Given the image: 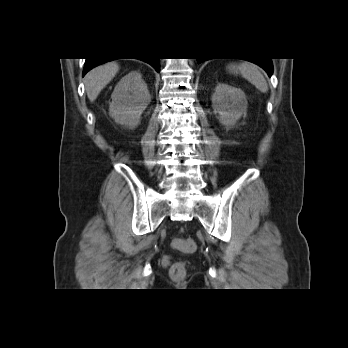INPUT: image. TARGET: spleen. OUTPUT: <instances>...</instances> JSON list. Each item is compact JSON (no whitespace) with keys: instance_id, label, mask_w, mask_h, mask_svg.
<instances>
[{"instance_id":"3e777b00","label":"spleen","mask_w":348,"mask_h":348,"mask_svg":"<svg viewBox=\"0 0 348 348\" xmlns=\"http://www.w3.org/2000/svg\"><path fill=\"white\" fill-rule=\"evenodd\" d=\"M229 71L234 74H240L253 84L260 92L266 93L268 91V84L259 68L250 62L244 61L238 64H230Z\"/></svg>"}]
</instances>
